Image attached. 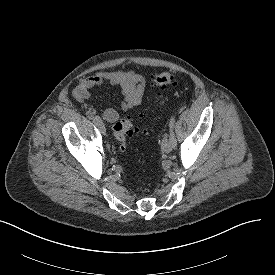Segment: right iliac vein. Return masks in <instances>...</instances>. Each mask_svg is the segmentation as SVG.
I'll return each instance as SVG.
<instances>
[{
  "mask_svg": "<svg viewBox=\"0 0 275 275\" xmlns=\"http://www.w3.org/2000/svg\"><path fill=\"white\" fill-rule=\"evenodd\" d=\"M97 126H98V128H99V131H100L103 135H105V134H106V128H105L103 122H102V121L99 122V123L97 124Z\"/></svg>",
  "mask_w": 275,
  "mask_h": 275,
  "instance_id": "63e3f726",
  "label": "right iliac vein"
}]
</instances>
